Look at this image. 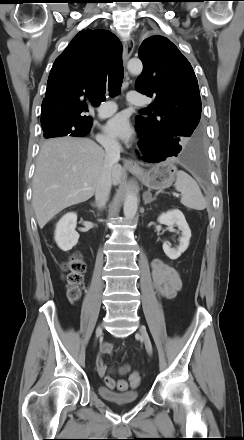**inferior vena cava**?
Returning a JSON list of instances; mask_svg holds the SVG:
<instances>
[{"mask_svg":"<svg viewBox=\"0 0 244 440\" xmlns=\"http://www.w3.org/2000/svg\"><path fill=\"white\" fill-rule=\"evenodd\" d=\"M102 146L105 149V165L95 190L96 203L99 208H103L109 199L112 186L111 168L120 159V145L115 139L103 141Z\"/></svg>","mask_w":244,"mask_h":440,"instance_id":"obj_1","label":"inferior vena cava"}]
</instances>
